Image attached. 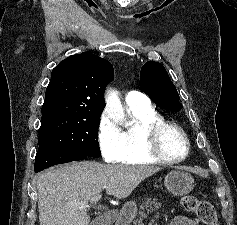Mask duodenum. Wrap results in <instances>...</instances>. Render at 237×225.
<instances>
[{"instance_id":"410a0bca","label":"duodenum","mask_w":237,"mask_h":225,"mask_svg":"<svg viewBox=\"0 0 237 225\" xmlns=\"http://www.w3.org/2000/svg\"><path fill=\"white\" fill-rule=\"evenodd\" d=\"M115 225H122V220L117 218L115 221Z\"/></svg>"}]
</instances>
